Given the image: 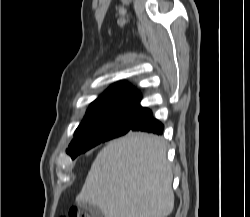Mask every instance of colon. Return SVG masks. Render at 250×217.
I'll return each instance as SVG.
<instances>
[{"label":"colon","mask_w":250,"mask_h":217,"mask_svg":"<svg viewBox=\"0 0 250 217\" xmlns=\"http://www.w3.org/2000/svg\"><path fill=\"white\" fill-rule=\"evenodd\" d=\"M67 217H90V216L87 213L74 208L68 212Z\"/></svg>","instance_id":"colon-1"}]
</instances>
